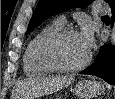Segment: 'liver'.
Masks as SVG:
<instances>
[{
    "label": "liver",
    "mask_w": 115,
    "mask_h": 99,
    "mask_svg": "<svg viewBox=\"0 0 115 99\" xmlns=\"http://www.w3.org/2000/svg\"><path fill=\"white\" fill-rule=\"evenodd\" d=\"M74 79V76L70 75L25 80L17 84L18 97L32 99L38 95L52 94L70 85Z\"/></svg>",
    "instance_id": "liver-1"
}]
</instances>
